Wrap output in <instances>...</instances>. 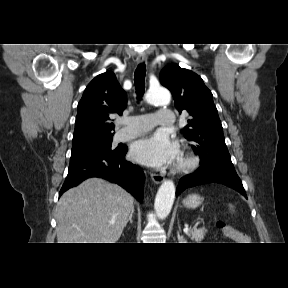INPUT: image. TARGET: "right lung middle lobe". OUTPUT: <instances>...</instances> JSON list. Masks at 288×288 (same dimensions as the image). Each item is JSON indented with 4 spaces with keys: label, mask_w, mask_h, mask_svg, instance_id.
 Masks as SVG:
<instances>
[{
    "label": "right lung middle lobe",
    "mask_w": 288,
    "mask_h": 288,
    "mask_svg": "<svg viewBox=\"0 0 288 288\" xmlns=\"http://www.w3.org/2000/svg\"><path fill=\"white\" fill-rule=\"evenodd\" d=\"M111 142L112 137H109L92 144L72 147L70 162H75L91 155L110 153L117 150L118 148H111Z\"/></svg>",
    "instance_id": "1"
}]
</instances>
